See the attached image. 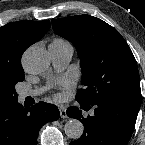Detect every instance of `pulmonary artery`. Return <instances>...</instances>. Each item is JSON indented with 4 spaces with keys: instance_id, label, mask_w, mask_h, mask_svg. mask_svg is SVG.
<instances>
[{
    "instance_id": "pulmonary-artery-1",
    "label": "pulmonary artery",
    "mask_w": 145,
    "mask_h": 145,
    "mask_svg": "<svg viewBox=\"0 0 145 145\" xmlns=\"http://www.w3.org/2000/svg\"><path fill=\"white\" fill-rule=\"evenodd\" d=\"M49 53L52 59V63L54 67L61 71L63 70L66 65L71 60L73 54V48L71 45L65 46H56V45H49ZM40 93L39 90H24L21 91L19 96L20 99L23 100L28 96H36Z\"/></svg>"
}]
</instances>
